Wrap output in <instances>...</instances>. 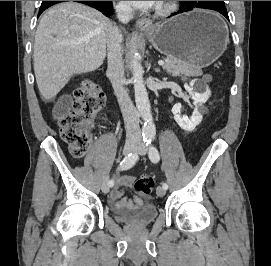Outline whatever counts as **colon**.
<instances>
[{"mask_svg":"<svg viewBox=\"0 0 271 266\" xmlns=\"http://www.w3.org/2000/svg\"><path fill=\"white\" fill-rule=\"evenodd\" d=\"M104 102L100 87L85 80L75 92L71 109L60 118L61 137L69 144L74 157H82L88 151L91 144L90 127ZM154 186V180L150 176H142L134 183L135 190L143 195H149Z\"/></svg>","mask_w":271,"mask_h":266,"instance_id":"1","label":"colon"}]
</instances>
